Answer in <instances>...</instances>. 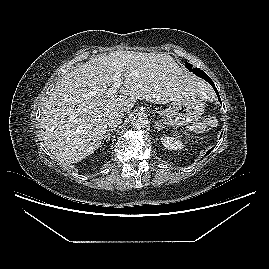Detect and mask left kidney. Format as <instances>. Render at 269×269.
<instances>
[{"instance_id":"5707ae66","label":"left kidney","mask_w":269,"mask_h":269,"mask_svg":"<svg viewBox=\"0 0 269 269\" xmlns=\"http://www.w3.org/2000/svg\"><path fill=\"white\" fill-rule=\"evenodd\" d=\"M163 146L168 150H179L182 148V143L174 137H161Z\"/></svg>"}]
</instances>
